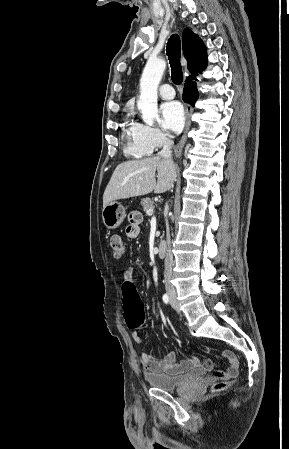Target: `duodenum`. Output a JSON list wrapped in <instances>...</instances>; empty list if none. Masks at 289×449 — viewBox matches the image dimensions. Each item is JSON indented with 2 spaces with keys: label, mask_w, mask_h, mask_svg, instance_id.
I'll list each match as a JSON object with an SVG mask.
<instances>
[{
  "label": "duodenum",
  "mask_w": 289,
  "mask_h": 449,
  "mask_svg": "<svg viewBox=\"0 0 289 449\" xmlns=\"http://www.w3.org/2000/svg\"><path fill=\"white\" fill-rule=\"evenodd\" d=\"M167 251V243L164 240H161L157 244V253L160 258H164L166 256Z\"/></svg>",
  "instance_id": "duodenum-1"
}]
</instances>
